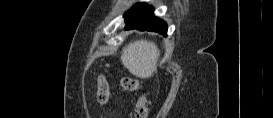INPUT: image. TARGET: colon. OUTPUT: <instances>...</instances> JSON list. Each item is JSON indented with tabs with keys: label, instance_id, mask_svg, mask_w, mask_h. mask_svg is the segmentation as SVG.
<instances>
[{
	"label": "colon",
	"instance_id": "colon-1",
	"mask_svg": "<svg viewBox=\"0 0 273 118\" xmlns=\"http://www.w3.org/2000/svg\"><path fill=\"white\" fill-rule=\"evenodd\" d=\"M121 87L126 91H137L140 89V81L133 77H122ZM109 98V88L104 76L98 77L97 101L100 104H106ZM148 105L147 98L144 94L140 95L135 103L133 118H147Z\"/></svg>",
	"mask_w": 273,
	"mask_h": 118
}]
</instances>
